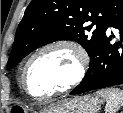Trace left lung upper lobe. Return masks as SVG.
Listing matches in <instances>:
<instances>
[{
	"label": "left lung upper lobe",
	"instance_id": "obj_1",
	"mask_svg": "<svg viewBox=\"0 0 123 113\" xmlns=\"http://www.w3.org/2000/svg\"><path fill=\"white\" fill-rule=\"evenodd\" d=\"M111 0H32L17 28L7 69L40 46L74 40L90 60L106 36L107 8Z\"/></svg>",
	"mask_w": 123,
	"mask_h": 113
}]
</instances>
